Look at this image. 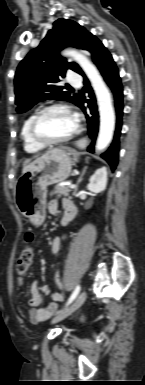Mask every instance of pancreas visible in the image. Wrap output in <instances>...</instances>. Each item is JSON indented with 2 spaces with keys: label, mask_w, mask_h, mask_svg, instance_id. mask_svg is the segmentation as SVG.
Masks as SVG:
<instances>
[{
  "label": "pancreas",
  "mask_w": 145,
  "mask_h": 385,
  "mask_svg": "<svg viewBox=\"0 0 145 385\" xmlns=\"http://www.w3.org/2000/svg\"><path fill=\"white\" fill-rule=\"evenodd\" d=\"M72 189L70 186H57L54 190V194L57 198H60L62 196H69Z\"/></svg>",
  "instance_id": "cf45deb5"
}]
</instances>
